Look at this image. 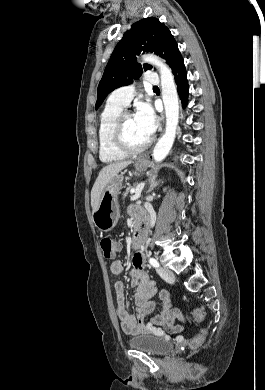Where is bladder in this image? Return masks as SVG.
<instances>
[{
    "label": "bladder",
    "mask_w": 265,
    "mask_h": 390,
    "mask_svg": "<svg viewBox=\"0 0 265 390\" xmlns=\"http://www.w3.org/2000/svg\"><path fill=\"white\" fill-rule=\"evenodd\" d=\"M129 345L136 350L151 355H162L172 348L171 343L166 341L163 337L149 334L132 337L129 340Z\"/></svg>",
    "instance_id": "bladder-1"
}]
</instances>
